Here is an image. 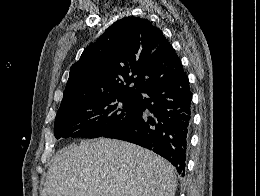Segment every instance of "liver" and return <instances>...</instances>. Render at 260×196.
<instances>
[{"instance_id":"liver-1","label":"liver","mask_w":260,"mask_h":196,"mask_svg":"<svg viewBox=\"0 0 260 196\" xmlns=\"http://www.w3.org/2000/svg\"><path fill=\"white\" fill-rule=\"evenodd\" d=\"M170 162L121 140H87L59 150L41 196H175Z\"/></svg>"}]
</instances>
